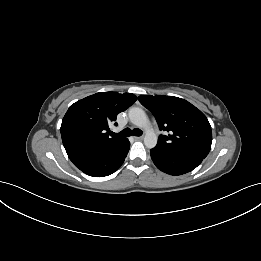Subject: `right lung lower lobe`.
<instances>
[{"label": "right lung lower lobe", "instance_id": "98d812e1", "mask_svg": "<svg viewBox=\"0 0 261 261\" xmlns=\"http://www.w3.org/2000/svg\"><path fill=\"white\" fill-rule=\"evenodd\" d=\"M129 148L130 142L126 138L115 144H78L65 149L70 160L82 172L104 177L119 169Z\"/></svg>", "mask_w": 261, "mask_h": 261}]
</instances>
